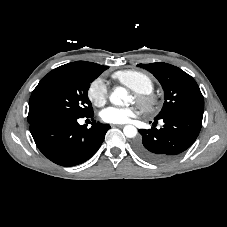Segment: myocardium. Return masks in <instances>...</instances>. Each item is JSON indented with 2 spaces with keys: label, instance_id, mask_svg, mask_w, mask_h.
Wrapping results in <instances>:
<instances>
[{
  "label": "myocardium",
  "instance_id": "f54148a6",
  "mask_svg": "<svg viewBox=\"0 0 227 227\" xmlns=\"http://www.w3.org/2000/svg\"><path fill=\"white\" fill-rule=\"evenodd\" d=\"M135 100L139 104V106L148 113H152L156 111L160 105L159 98L152 94V93H146V94H135Z\"/></svg>",
  "mask_w": 227,
  "mask_h": 227
}]
</instances>
